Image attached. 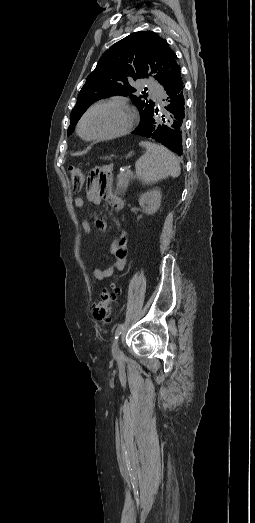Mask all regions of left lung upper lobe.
<instances>
[{"label":"left lung upper lobe","instance_id":"5c2ea615","mask_svg":"<svg viewBox=\"0 0 255 523\" xmlns=\"http://www.w3.org/2000/svg\"><path fill=\"white\" fill-rule=\"evenodd\" d=\"M176 60L177 56L167 41L152 31L135 32L115 43L102 55L95 70L87 77L70 116L68 135L72 134L79 118L92 103L114 95L129 96L138 107L139 128L141 122L149 118L151 110L156 111L157 108L153 101H146L148 94L145 91L142 96L135 95L136 89L130 83L152 76L165 90L169 85L175 86V78L181 75ZM167 99H170L169 95Z\"/></svg>","mask_w":255,"mask_h":523}]
</instances>
